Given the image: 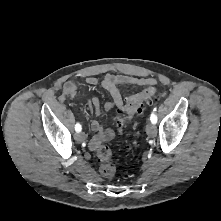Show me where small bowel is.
Wrapping results in <instances>:
<instances>
[{
  "instance_id": "small-bowel-1",
  "label": "small bowel",
  "mask_w": 221,
  "mask_h": 221,
  "mask_svg": "<svg viewBox=\"0 0 221 221\" xmlns=\"http://www.w3.org/2000/svg\"><path fill=\"white\" fill-rule=\"evenodd\" d=\"M84 83L87 86H96L98 84L97 78L93 76H89L85 79ZM101 86L108 92L110 96V101L104 104V111L109 112L113 108H118L117 113L113 116V120L116 123L117 131L119 134L123 132V124H124V100L119 91L118 86L120 85H152L154 82L151 79L129 76L123 74H106L105 77L101 80ZM81 84L75 81H67L62 90V94L60 96L61 101H65L67 99L72 98L80 89ZM87 108L91 112L92 115L98 117L101 115L100 102L97 97H93L86 103ZM91 127L95 131V135L89 142V148L91 150H97L103 142L111 140L115 133L111 128H103L101 123L97 119H93L91 121Z\"/></svg>"
}]
</instances>
